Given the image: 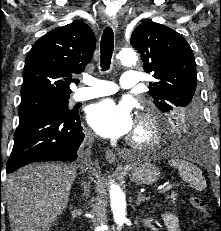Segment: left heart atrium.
<instances>
[{
	"mask_svg": "<svg viewBox=\"0 0 221 231\" xmlns=\"http://www.w3.org/2000/svg\"><path fill=\"white\" fill-rule=\"evenodd\" d=\"M87 120L95 132L105 138H120L135 128L130 106L111 99L93 104L88 110Z\"/></svg>",
	"mask_w": 221,
	"mask_h": 231,
	"instance_id": "1",
	"label": "left heart atrium"
}]
</instances>
